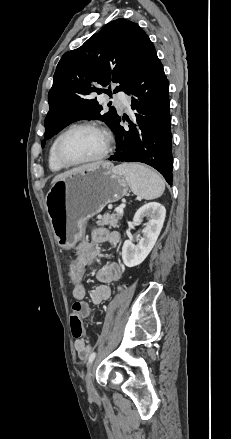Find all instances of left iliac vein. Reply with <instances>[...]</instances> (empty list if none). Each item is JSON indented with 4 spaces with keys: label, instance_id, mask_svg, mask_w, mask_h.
Instances as JSON below:
<instances>
[{
    "label": "left iliac vein",
    "instance_id": "left-iliac-vein-1",
    "mask_svg": "<svg viewBox=\"0 0 231 439\" xmlns=\"http://www.w3.org/2000/svg\"><path fill=\"white\" fill-rule=\"evenodd\" d=\"M95 365H96V361H94L91 364L89 371L87 373V376H86V387H87L88 395L92 399H95L97 397V391H96L94 384H93V381H92Z\"/></svg>",
    "mask_w": 231,
    "mask_h": 439
}]
</instances>
